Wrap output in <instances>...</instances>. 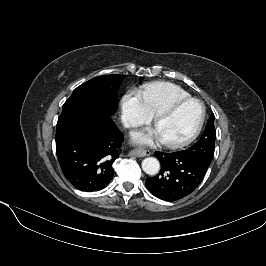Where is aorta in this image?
<instances>
[{
    "label": "aorta",
    "instance_id": "1",
    "mask_svg": "<svg viewBox=\"0 0 266 266\" xmlns=\"http://www.w3.org/2000/svg\"><path fill=\"white\" fill-rule=\"evenodd\" d=\"M142 169L148 175H155L160 170V163L156 158L147 157L142 161Z\"/></svg>",
    "mask_w": 266,
    "mask_h": 266
}]
</instances>
